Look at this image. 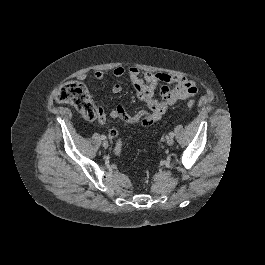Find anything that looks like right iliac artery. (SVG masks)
Returning <instances> with one entry per match:
<instances>
[{
  "label": "right iliac artery",
  "instance_id": "82829eb1",
  "mask_svg": "<svg viewBox=\"0 0 265 265\" xmlns=\"http://www.w3.org/2000/svg\"><path fill=\"white\" fill-rule=\"evenodd\" d=\"M101 139H102V140H105V139H106V136H105V135H102V136H101Z\"/></svg>",
  "mask_w": 265,
  "mask_h": 265
}]
</instances>
